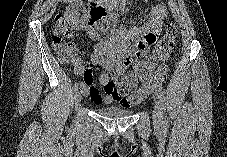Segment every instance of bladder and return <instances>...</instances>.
Returning <instances> with one entry per match:
<instances>
[{"label":"bladder","mask_w":227,"mask_h":157,"mask_svg":"<svg viewBox=\"0 0 227 157\" xmlns=\"http://www.w3.org/2000/svg\"><path fill=\"white\" fill-rule=\"evenodd\" d=\"M96 112L105 118H123L128 117L133 113V110L121 108L118 106H107L96 109Z\"/></svg>","instance_id":"31cf9c89"}]
</instances>
